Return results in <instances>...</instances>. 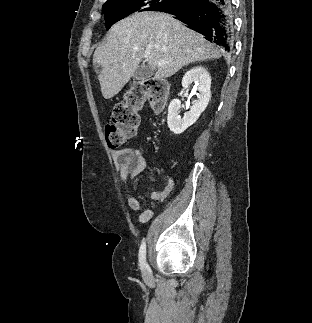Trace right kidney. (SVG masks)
<instances>
[{"instance_id": "ca27d5eb", "label": "right kidney", "mask_w": 312, "mask_h": 323, "mask_svg": "<svg viewBox=\"0 0 312 323\" xmlns=\"http://www.w3.org/2000/svg\"><path fill=\"white\" fill-rule=\"evenodd\" d=\"M191 84L197 86V100L193 102L191 110L186 112L183 118L179 114L181 108L180 100H172L169 104L167 124L168 128H170L171 132H174V134H182L189 126L195 124L200 114L207 108L211 98V78L207 68H204V66H195V68L188 70L182 80V86L183 88H189Z\"/></svg>"}]
</instances>
